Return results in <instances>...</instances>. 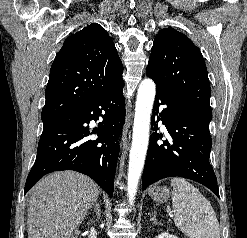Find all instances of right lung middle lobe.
I'll use <instances>...</instances> for the list:
<instances>
[{
    "instance_id": "1",
    "label": "right lung middle lobe",
    "mask_w": 247,
    "mask_h": 238,
    "mask_svg": "<svg viewBox=\"0 0 247 238\" xmlns=\"http://www.w3.org/2000/svg\"><path fill=\"white\" fill-rule=\"evenodd\" d=\"M56 119H53V120H46V121H43V124L44 126L47 125V124H50L51 122L55 121Z\"/></svg>"
}]
</instances>
